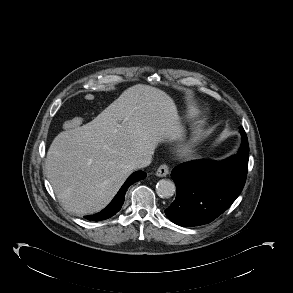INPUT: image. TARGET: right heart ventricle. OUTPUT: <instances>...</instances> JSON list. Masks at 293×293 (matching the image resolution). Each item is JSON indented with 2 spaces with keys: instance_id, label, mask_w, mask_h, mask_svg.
Returning <instances> with one entry per match:
<instances>
[{
  "instance_id": "1",
  "label": "right heart ventricle",
  "mask_w": 293,
  "mask_h": 293,
  "mask_svg": "<svg viewBox=\"0 0 293 293\" xmlns=\"http://www.w3.org/2000/svg\"><path fill=\"white\" fill-rule=\"evenodd\" d=\"M187 113H188L187 115H188L189 117H192V116L194 115V112H193L192 110H189Z\"/></svg>"
}]
</instances>
